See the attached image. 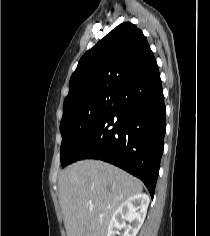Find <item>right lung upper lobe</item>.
<instances>
[{"label": "right lung upper lobe", "mask_w": 210, "mask_h": 236, "mask_svg": "<svg viewBox=\"0 0 210 236\" xmlns=\"http://www.w3.org/2000/svg\"><path fill=\"white\" fill-rule=\"evenodd\" d=\"M157 67L142 31L122 23L80 59L69 82L63 112L93 96L119 92L127 83Z\"/></svg>", "instance_id": "1"}]
</instances>
